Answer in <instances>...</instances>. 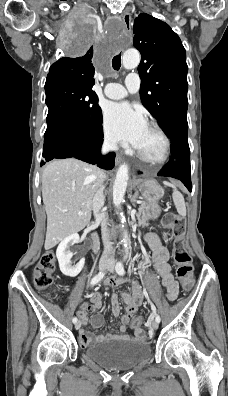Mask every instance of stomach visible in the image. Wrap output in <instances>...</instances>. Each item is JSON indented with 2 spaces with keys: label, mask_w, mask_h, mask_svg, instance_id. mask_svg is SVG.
Masks as SVG:
<instances>
[{
  "label": "stomach",
  "mask_w": 228,
  "mask_h": 396,
  "mask_svg": "<svg viewBox=\"0 0 228 396\" xmlns=\"http://www.w3.org/2000/svg\"><path fill=\"white\" fill-rule=\"evenodd\" d=\"M138 188L145 204V212L140 214L149 218L157 217L160 212L158 201L164 196V189L155 180L142 182Z\"/></svg>",
  "instance_id": "obj_1"
}]
</instances>
